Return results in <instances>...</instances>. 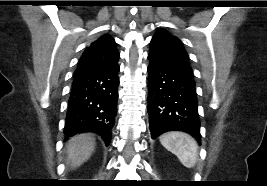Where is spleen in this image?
<instances>
[{
    "label": "spleen",
    "instance_id": "obj_1",
    "mask_svg": "<svg viewBox=\"0 0 267 186\" xmlns=\"http://www.w3.org/2000/svg\"><path fill=\"white\" fill-rule=\"evenodd\" d=\"M160 143L177 156L186 168H193L197 162L198 144L194 138L183 132H169L160 137Z\"/></svg>",
    "mask_w": 267,
    "mask_h": 186
}]
</instances>
